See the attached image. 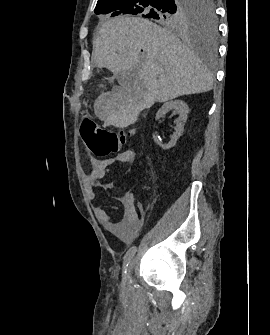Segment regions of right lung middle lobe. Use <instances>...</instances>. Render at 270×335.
<instances>
[{
  "label": "right lung middle lobe",
  "mask_w": 270,
  "mask_h": 335,
  "mask_svg": "<svg viewBox=\"0 0 270 335\" xmlns=\"http://www.w3.org/2000/svg\"><path fill=\"white\" fill-rule=\"evenodd\" d=\"M95 13L100 19L140 14L170 29L200 33L210 42L217 33L213 0H98Z\"/></svg>",
  "instance_id": "1"
}]
</instances>
